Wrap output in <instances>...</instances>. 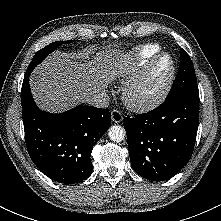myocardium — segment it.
Here are the masks:
<instances>
[{
  "mask_svg": "<svg viewBox=\"0 0 221 221\" xmlns=\"http://www.w3.org/2000/svg\"><path fill=\"white\" fill-rule=\"evenodd\" d=\"M162 58H168L171 64L166 81L154 95L148 98H138L135 93L137 88L148 76L154 65ZM176 74L177 66L174 58L166 52L157 53L125 84L123 88V101L130 109L137 112H147L158 107L168 96L175 81Z\"/></svg>",
  "mask_w": 221,
  "mask_h": 221,
  "instance_id": "obj_1",
  "label": "myocardium"
}]
</instances>
